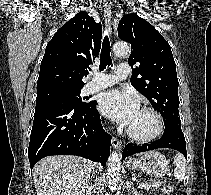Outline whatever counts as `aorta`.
Listing matches in <instances>:
<instances>
[{
	"mask_svg": "<svg viewBox=\"0 0 211 195\" xmlns=\"http://www.w3.org/2000/svg\"><path fill=\"white\" fill-rule=\"evenodd\" d=\"M113 51L116 56H128L131 52V47L127 43L117 42L113 46ZM121 171V156L118 152H112L107 163V177L109 188L113 192L117 189V184L120 178Z\"/></svg>",
	"mask_w": 211,
	"mask_h": 195,
	"instance_id": "762f6f07",
	"label": "aorta"
}]
</instances>
